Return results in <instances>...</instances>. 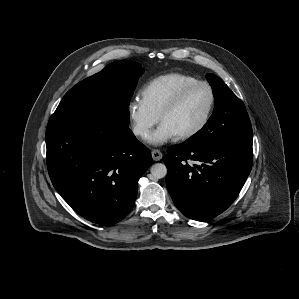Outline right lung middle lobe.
<instances>
[{"label":"right lung middle lobe","instance_id":"obj_1","mask_svg":"<svg viewBox=\"0 0 299 299\" xmlns=\"http://www.w3.org/2000/svg\"><path fill=\"white\" fill-rule=\"evenodd\" d=\"M144 70L134 61H116L70 89L48 124H76L102 117L129 124V101Z\"/></svg>","mask_w":299,"mask_h":299}]
</instances>
